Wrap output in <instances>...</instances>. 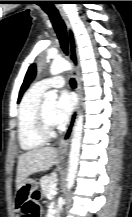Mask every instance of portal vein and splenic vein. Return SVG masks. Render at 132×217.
I'll return each instance as SVG.
<instances>
[{
  "mask_svg": "<svg viewBox=\"0 0 132 217\" xmlns=\"http://www.w3.org/2000/svg\"><path fill=\"white\" fill-rule=\"evenodd\" d=\"M50 194H51V195H56V194H57L56 188L52 189V190L50 191Z\"/></svg>",
  "mask_w": 132,
  "mask_h": 217,
  "instance_id": "portal-vein-and-splenic-vein-1",
  "label": "portal vein and splenic vein"
}]
</instances>
